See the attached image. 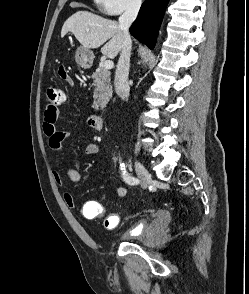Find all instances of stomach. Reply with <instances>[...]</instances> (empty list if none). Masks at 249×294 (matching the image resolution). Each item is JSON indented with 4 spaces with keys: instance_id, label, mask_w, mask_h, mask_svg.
Instances as JSON below:
<instances>
[{
    "instance_id": "stomach-1",
    "label": "stomach",
    "mask_w": 249,
    "mask_h": 294,
    "mask_svg": "<svg viewBox=\"0 0 249 294\" xmlns=\"http://www.w3.org/2000/svg\"><path fill=\"white\" fill-rule=\"evenodd\" d=\"M94 59V54L93 52L86 47L80 46L75 53V60L77 64L84 69L89 68Z\"/></svg>"
}]
</instances>
